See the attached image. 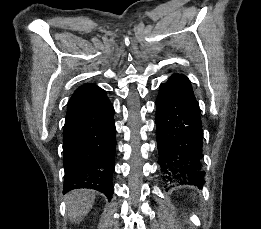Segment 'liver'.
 <instances>
[{"instance_id":"obj_1","label":"liver","mask_w":261,"mask_h":229,"mask_svg":"<svg viewBox=\"0 0 261 229\" xmlns=\"http://www.w3.org/2000/svg\"><path fill=\"white\" fill-rule=\"evenodd\" d=\"M95 201V191L91 189H77L66 197L68 217L72 223L82 221L86 217Z\"/></svg>"}]
</instances>
